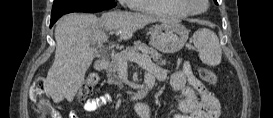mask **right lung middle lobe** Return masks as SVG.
I'll list each match as a JSON object with an SVG mask.
<instances>
[{"label": "right lung middle lobe", "mask_w": 273, "mask_h": 118, "mask_svg": "<svg viewBox=\"0 0 273 118\" xmlns=\"http://www.w3.org/2000/svg\"><path fill=\"white\" fill-rule=\"evenodd\" d=\"M67 5L88 11H103L116 6L114 0H54L53 7Z\"/></svg>", "instance_id": "obj_1"}]
</instances>
